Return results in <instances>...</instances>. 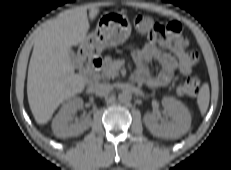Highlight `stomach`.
<instances>
[{
	"label": "stomach",
	"mask_w": 231,
	"mask_h": 170,
	"mask_svg": "<svg viewBox=\"0 0 231 170\" xmlns=\"http://www.w3.org/2000/svg\"><path fill=\"white\" fill-rule=\"evenodd\" d=\"M131 34V24L126 15L105 12L98 20L96 29L86 36L83 46L101 53L107 47L124 43Z\"/></svg>",
	"instance_id": "obj_1"
}]
</instances>
